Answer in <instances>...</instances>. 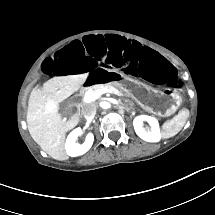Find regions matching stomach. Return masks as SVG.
<instances>
[{"label":"stomach","instance_id":"stomach-1","mask_svg":"<svg viewBox=\"0 0 215 215\" xmlns=\"http://www.w3.org/2000/svg\"><path fill=\"white\" fill-rule=\"evenodd\" d=\"M120 88L140 105L148 107L156 113L170 114L181 103V98L177 92L166 93L161 90H151L132 80L122 83Z\"/></svg>","mask_w":215,"mask_h":215}]
</instances>
